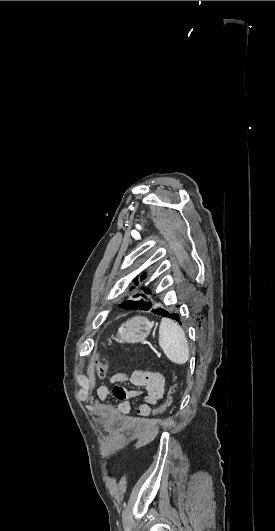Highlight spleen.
Returning <instances> with one entry per match:
<instances>
[{
  "label": "spleen",
  "instance_id": "spleen-1",
  "mask_svg": "<svg viewBox=\"0 0 275 531\" xmlns=\"http://www.w3.org/2000/svg\"><path fill=\"white\" fill-rule=\"evenodd\" d=\"M159 345L172 363L176 365L187 363L189 359L188 341L182 327L176 321L163 317L159 327Z\"/></svg>",
  "mask_w": 275,
  "mask_h": 531
}]
</instances>
